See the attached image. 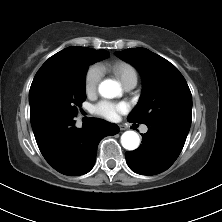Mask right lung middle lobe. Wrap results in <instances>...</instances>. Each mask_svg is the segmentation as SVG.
<instances>
[{"label":"right lung middle lobe","instance_id":"dd1d6c3e","mask_svg":"<svg viewBox=\"0 0 222 222\" xmlns=\"http://www.w3.org/2000/svg\"><path fill=\"white\" fill-rule=\"evenodd\" d=\"M103 58L94 50H78L47 60L35 75L29 91L32 128L54 116L75 117L86 99L87 69Z\"/></svg>","mask_w":222,"mask_h":222}]
</instances>
